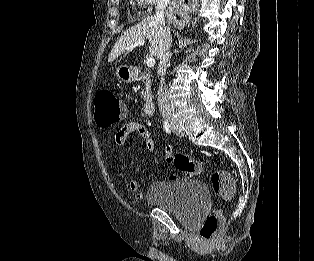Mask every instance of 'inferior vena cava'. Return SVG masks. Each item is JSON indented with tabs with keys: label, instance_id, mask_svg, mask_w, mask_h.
Instances as JSON below:
<instances>
[{
	"label": "inferior vena cava",
	"instance_id": "inferior-vena-cava-1",
	"mask_svg": "<svg viewBox=\"0 0 314 261\" xmlns=\"http://www.w3.org/2000/svg\"><path fill=\"white\" fill-rule=\"evenodd\" d=\"M168 2L169 0H157L155 18L160 22L163 27H165L164 11L168 5ZM170 45L171 36L170 32L168 31V44L166 45V49L160 56L159 66L157 70V75L160 77V85L157 93L158 108L162 117L166 119H172L173 116L168 98V91L165 84L167 66L171 58V53L169 51Z\"/></svg>",
	"mask_w": 314,
	"mask_h": 261
}]
</instances>
